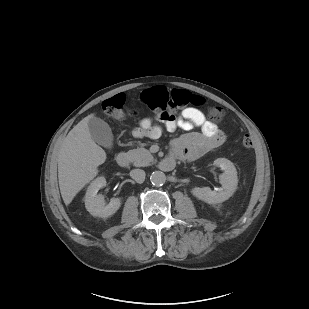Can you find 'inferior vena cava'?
Returning <instances> with one entry per match:
<instances>
[{
  "label": "inferior vena cava",
  "instance_id": "inferior-vena-cava-1",
  "mask_svg": "<svg viewBox=\"0 0 309 309\" xmlns=\"http://www.w3.org/2000/svg\"><path fill=\"white\" fill-rule=\"evenodd\" d=\"M145 171L142 169H133L130 171V176L137 183H143L145 180Z\"/></svg>",
  "mask_w": 309,
  "mask_h": 309
}]
</instances>
